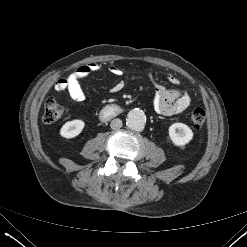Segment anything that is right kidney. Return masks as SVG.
Wrapping results in <instances>:
<instances>
[{
    "label": "right kidney",
    "instance_id": "ca27d5eb",
    "mask_svg": "<svg viewBox=\"0 0 247 247\" xmlns=\"http://www.w3.org/2000/svg\"><path fill=\"white\" fill-rule=\"evenodd\" d=\"M84 126L85 123L82 120L68 121L60 129V135L67 139L74 138L82 132Z\"/></svg>",
    "mask_w": 247,
    "mask_h": 247
}]
</instances>
